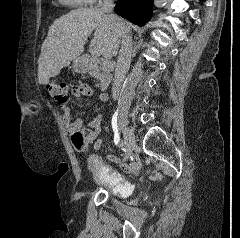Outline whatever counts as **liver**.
Here are the masks:
<instances>
[{
  "mask_svg": "<svg viewBox=\"0 0 240 238\" xmlns=\"http://www.w3.org/2000/svg\"><path fill=\"white\" fill-rule=\"evenodd\" d=\"M124 24L130 27L128 22ZM93 34L89 51H96L109 60L114 57L121 43L122 30L100 9L79 8L58 18L50 26L38 59V81L48 84L61 69L83 53L87 38Z\"/></svg>",
  "mask_w": 240,
  "mask_h": 238,
  "instance_id": "6515ba94",
  "label": "liver"
}]
</instances>
